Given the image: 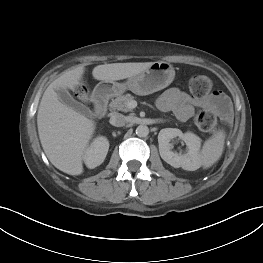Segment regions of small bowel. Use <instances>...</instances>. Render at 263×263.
Returning a JSON list of instances; mask_svg holds the SVG:
<instances>
[{"instance_id": "obj_1", "label": "small bowel", "mask_w": 263, "mask_h": 263, "mask_svg": "<svg viewBox=\"0 0 263 263\" xmlns=\"http://www.w3.org/2000/svg\"><path fill=\"white\" fill-rule=\"evenodd\" d=\"M157 106L162 111L173 112L181 121L190 119L195 108L213 110L223 115L230 111L229 100L219 91L206 98H197L175 87L169 88L159 97Z\"/></svg>"}]
</instances>
